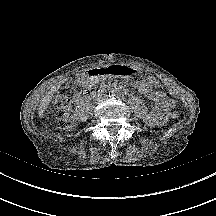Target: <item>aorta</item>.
I'll list each match as a JSON object with an SVG mask.
<instances>
[{"label":"aorta","instance_id":"aorta-1","mask_svg":"<svg viewBox=\"0 0 216 216\" xmlns=\"http://www.w3.org/2000/svg\"><path fill=\"white\" fill-rule=\"evenodd\" d=\"M119 94H120V91H119L117 88H112V89L110 90V95H111L112 97H117V96H119Z\"/></svg>","mask_w":216,"mask_h":216}]
</instances>
